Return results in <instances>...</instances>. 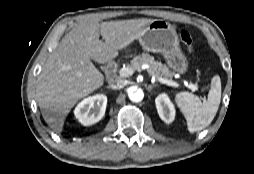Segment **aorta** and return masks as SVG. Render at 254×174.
Masks as SVG:
<instances>
[{"mask_svg":"<svg viewBox=\"0 0 254 174\" xmlns=\"http://www.w3.org/2000/svg\"><path fill=\"white\" fill-rule=\"evenodd\" d=\"M128 97L132 102H140L144 98V92L141 88L138 87H130L128 90Z\"/></svg>","mask_w":254,"mask_h":174,"instance_id":"obj_1","label":"aorta"}]
</instances>
